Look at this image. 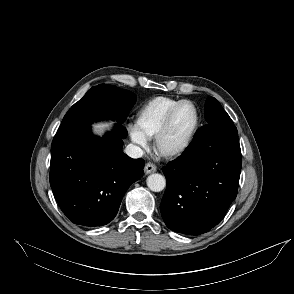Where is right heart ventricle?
I'll return each mask as SVG.
<instances>
[{
  "mask_svg": "<svg viewBox=\"0 0 294 294\" xmlns=\"http://www.w3.org/2000/svg\"><path fill=\"white\" fill-rule=\"evenodd\" d=\"M180 101L168 97L150 99L137 113V129L146 139H153L169 111Z\"/></svg>",
  "mask_w": 294,
  "mask_h": 294,
  "instance_id": "1",
  "label": "right heart ventricle"
}]
</instances>
